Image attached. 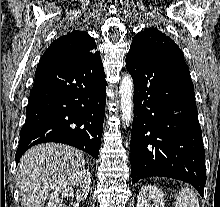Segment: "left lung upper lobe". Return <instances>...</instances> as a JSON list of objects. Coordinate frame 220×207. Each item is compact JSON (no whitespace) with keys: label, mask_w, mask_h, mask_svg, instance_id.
Here are the masks:
<instances>
[{"label":"left lung upper lobe","mask_w":220,"mask_h":207,"mask_svg":"<svg viewBox=\"0 0 220 207\" xmlns=\"http://www.w3.org/2000/svg\"><path fill=\"white\" fill-rule=\"evenodd\" d=\"M130 49L159 59H184L177 44L157 28L151 27L137 33Z\"/></svg>","instance_id":"obj_1"}]
</instances>
